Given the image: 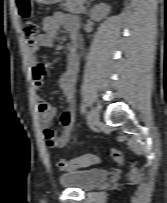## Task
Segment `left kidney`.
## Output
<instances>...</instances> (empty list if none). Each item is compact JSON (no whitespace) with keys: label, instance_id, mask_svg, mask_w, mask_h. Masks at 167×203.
<instances>
[{"label":"left kidney","instance_id":"1","mask_svg":"<svg viewBox=\"0 0 167 203\" xmlns=\"http://www.w3.org/2000/svg\"><path fill=\"white\" fill-rule=\"evenodd\" d=\"M109 13V7L105 4L95 5L90 11V18L94 21H101Z\"/></svg>","mask_w":167,"mask_h":203}]
</instances>
